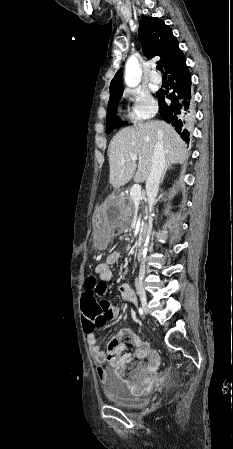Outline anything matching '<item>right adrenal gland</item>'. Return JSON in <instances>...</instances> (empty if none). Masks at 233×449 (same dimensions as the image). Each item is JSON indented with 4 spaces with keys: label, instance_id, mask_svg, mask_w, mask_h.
Here are the masks:
<instances>
[{
    "label": "right adrenal gland",
    "instance_id": "obj_1",
    "mask_svg": "<svg viewBox=\"0 0 233 449\" xmlns=\"http://www.w3.org/2000/svg\"><path fill=\"white\" fill-rule=\"evenodd\" d=\"M167 169H168V166H166V168H165V170H164V172H163V174H162V177H161V181H160V183H162V182H163V180H164V176H165V174H166V171H167Z\"/></svg>",
    "mask_w": 233,
    "mask_h": 449
}]
</instances>
